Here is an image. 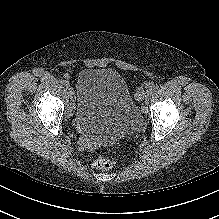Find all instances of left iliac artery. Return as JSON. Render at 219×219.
I'll return each mask as SVG.
<instances>
[{"label":"left iliac artery","mask_w":219,"mask_h":219,"mask_svg":"<svg viewBox=\"0 0 219 219\" xmlns=\"http://www.w3.org/2000/svg\"><path fill=\"white\" fill-rule=\"evenodd\" d=\"M146 88H149L147 92H149L150 94L154 93L157 89V85H150V84H146Z\"/></svg>","instance_id":"1"}]
</instances>
